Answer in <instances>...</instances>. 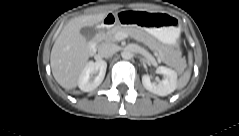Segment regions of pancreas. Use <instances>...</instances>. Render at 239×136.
<instances>
[{"mask_svg": "<svg viewBox=\"0 0 239 136\" xmlns=\"http://www.w3.org/2000/svg\"><path fill=\"white\" fill-rule=\"evenodd\" d=\"M118 33L129 34L137 39L142 40L151 49L157 50L159 53L163 52V49L159 44H157L155 41H153L152 38L149 37L146 33H144L141 29L136 28V27H123L120 25H116L113 28L109 29L107 32L101 34L100 39L105 42H116V41H118L116 38V35ZM165 62L168 65H170V62L168 60H165Z\"/></svg>", "mask_w": 239, "mask_h": 136, "instance_id": "obj_1", "label": "pancreas"}]
</instances>
